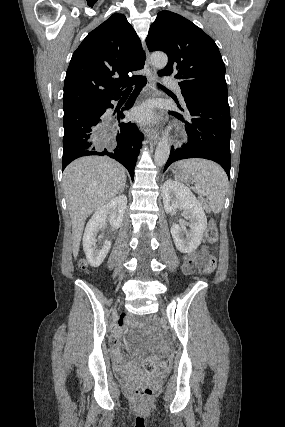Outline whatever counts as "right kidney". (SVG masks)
Listing matches in <instances>:
<instances>
[{
    "instance_id": "obj_1",
    "label": "right kidney",
    "mask_w": 285,
    "mask_h": 427,
    "mask_svg": "<svg viewBox=\"0 0 285 427\" xmlns=\"http://www.w3.org/2000/svg\"><path fill=\"white\" fill-rule=\"evenodd\" d=\"M126 206L127 197L119 195L98 209L87 223L83 236V249L92 267L100 266L111 248L109 240H105L100 249L97 248L98 231L106 225L107 219L113 229H118L122 224Z\"/></svg>"
}]
</instances>
